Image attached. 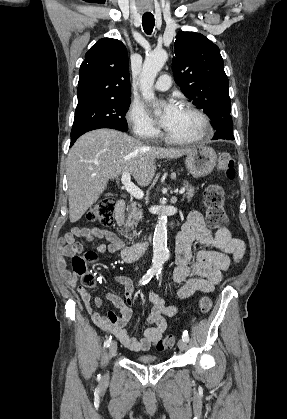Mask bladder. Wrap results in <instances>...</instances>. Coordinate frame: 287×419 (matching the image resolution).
<instances>
[{
  "mask_svg": "<svg viewBox=\"0 0 287 419\" xmlns=\"http://www.w3.org/2000/svg\"><path fill=\"white\" fill-rule=\"evenodd\" d=\"M137 361L141 363L151 364L157 362V358L150 355H141L137 357Z\"/></svg>",
  "mask_w": 287,
  "mask_h": 419,
  "instance_id": "bladder-1",
  "label": "bladder"
}]
</instances>
